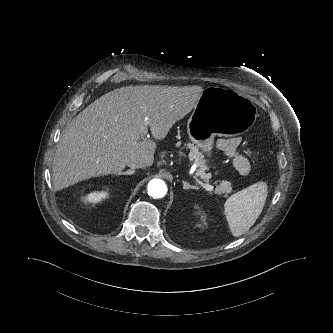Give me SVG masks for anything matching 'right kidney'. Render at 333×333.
Masks as SVG:
<instances>
[{"label": "right kidney", "mask_w": 333, "mask_h": 333, "mask_svg": "<svg viewBox=\"0 0 333 333\" xmlns=\"http://www.w3.org/2000/svg\"><path fill=\"white\" fill-rule=\"evenodd\" d=\"M108 196V193L107 192H93V193H90L88 196H87V201L89 202H92V203H97V202H100L101 199L105 198Z\"/></svg>", "instance_id": "right-kidney-1"}]
</instances>
